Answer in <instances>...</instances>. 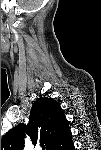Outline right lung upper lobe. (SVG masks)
<instances>
[{"label": "right lung upper lobe", "instance_id": "cb5924a9", "mask_svg": "<svg viewBox=\"0 0 101 150\" xmlns=\"http://www.w3.org/2000/svg\"><path fill=\"white\" fill-rule=\"evenodd\" d=\"M25 133L32 142L39 141L49 150H65L72 142L68 121L59 103L52 98H38L34 102L28 125L9 130L1 139V150H22Z\"/></svg>", "mask_w": 101, "mask_h": 150}]
</instances>
